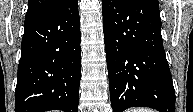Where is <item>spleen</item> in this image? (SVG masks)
I'll list each match as a JSON object with an SVG mask.
<instances>
[{
	"label": "spleen",
	"instance_id": "spleen-1",
	"mask_svg": "<svg viewBox=\"0 0 193 112\" xmlns=\"http://www.w3.org/2000/svg\"><path fill=\"white\" fill-rule=\"evenodd\" d=\"M128 112H153V110L148 108H134L129 110Z\"/></svg>",
	"mask_w": 193,
	"mask_h": 112
}]
</instances>
